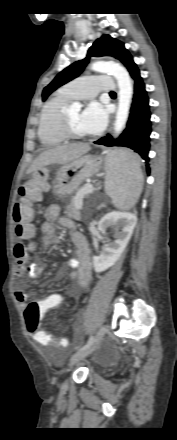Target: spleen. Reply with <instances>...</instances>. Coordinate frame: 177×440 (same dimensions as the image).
I'll return each mask as SVG.
<instances>
[{"label": "spleen", "instance_id": "obj_1", "mask_svg": "<svg viewBox=\"0 0 177 440\" xmlns=\"http://www.w3.org/2000/svg\"><path fill=\"white\" fill-rule=\"evenodd\" d=\"M114 152V161L120 159L121 165L115 168L114 162L106 164L105 191L116 207L129 209L136 203L142 191L140 160L134 153L125 149Z\"/></svg>", "mask_w": 177, "mask_h": 440}]
</instances>
